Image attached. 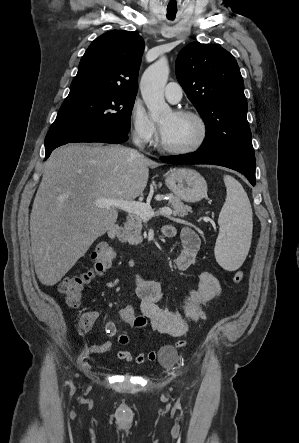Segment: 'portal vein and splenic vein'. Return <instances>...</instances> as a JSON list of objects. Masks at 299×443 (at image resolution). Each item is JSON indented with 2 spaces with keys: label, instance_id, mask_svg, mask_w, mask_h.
Returning <instances> with one entry per match:
<instances>
[{
  "label": "portal vein and splenic vein",
  "instance_id": "18ae733b",
  "mask_svg": "<svg viewBox=\"0 0 299 443\" xmlns=\"http://www.w3.org/2000/svg\"><path fill=\"white\" fill-rule=\"evenodd\" d=\"M95 205L98 208L115 207L130 214H136L145 220H149L157 215H163V216L172 215V210L169 207L160 208L158 211L155 212L150 206V204H145L136 201L121 200V199L101 198L95 201Z\"/></svg>",
  "mask_w": 299,
  "mask_h": 443
}]
</instances>
